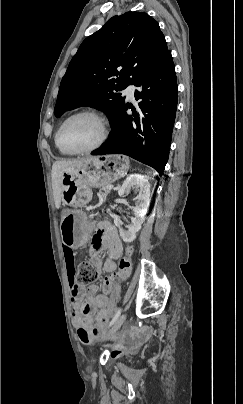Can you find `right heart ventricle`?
<instances>
[{
  "label": "right heart ventricle",
  "mask_w": 243,
  "mask_h": 404,
  "mask_svg": "<svg viewBox=\"0 0 243 404\" xmlns=\"http://www.w3.org/2000/svg\"><path fill=\"white\" fill-rule=\"evenodd\" d=\"M54 142H55L56 148L58 149V151H59L62 155H65V156H72V155L75 154V153H72V152L68 151L67 149H65L64 147H62V146L59 144L58 138H57V132L55 133V136H54Z\"/></svg>",
  "instance_id": "obj_1"
}]
</instances>
